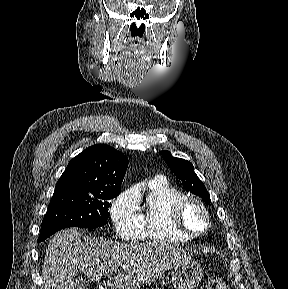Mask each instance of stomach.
Returning <instances> with one entry per match:
<instances>
[{"label":"stomach","instance_id":"0dacf381","mask_svg":"<svg viewBox=\"0 0 288 289\" xmlns=\"http://www.w3.org/2000/svg\"><path fill=\"white\" fill-rule=\"evenodd\" d=\"M201 266L194 261H187L175 266L171 274L174 289H195L202 279Z\"/></svg>","mask_w":288,"mask_h":289}]
</instances>
